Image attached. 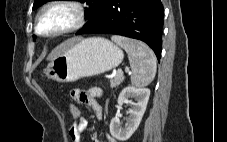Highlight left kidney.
Masks as SVG:
<instances>
[{
  "label": "left kidney",
  "mask_w": 227,
  "mask_h": 142,
  "mask_svg": "<svg viewBox=\"0 0 227 142\" xmlns=\"http://www.w3.org/2000/svg\"><path fill=\"white\" fill-rule=\"evenodd\" d=\"M150 90L148 88H136L133 86L125 87L119 97L118 104L122 105L127 102L129 98L136 100L133 104V108L129 110V116L125 127H121L117 117L113 118L110 122V133L117 140L124 142L128 140L133 133L137 130L146 106L149 100Z\"/></svg>",
  "instance_id": "5707ae66"
}]
</instances>
